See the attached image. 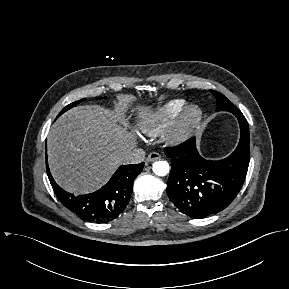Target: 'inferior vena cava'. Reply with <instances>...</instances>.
<instances>
[{"mask_svg": "<svg viewBox=\"0 0 289 289\" xmlns=\"http://www.w3.org/2000/svg\"><path fill=\"white\" fill-rule=\"evenodd\" d=\"M145 151L141 148H134L124 156V161L127 164H138L144 161Z\"/></svg>", "mask_w": 289, "mask_h": 289, "instance_id": "1", "label": "inferior vena cava"}]
</instances>
